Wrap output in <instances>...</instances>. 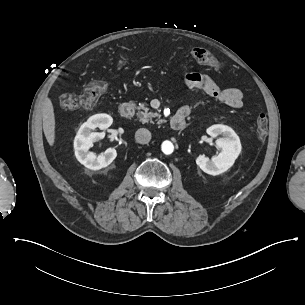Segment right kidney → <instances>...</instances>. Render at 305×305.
<instances>
[{
	"mask_svg": "<svg viewBox=\"0 0 305 305\" xmlns=\"http://www.w3.org/2000/svg\"><path fill=\"white\" fill-rule=\"evenodd\" d=\"M113 122L111 116L107 114H98L89 118V120L84 123L75 139H74V150L77 160L83 164L85 167L91 170H99L101 168L107 167L113 162L117 156V152L114 148H108L104 153L96 156L95 153L89 152L94 141L100 139L98 133H91V129L99 127L101 130L108 128ZM94 134V137H92Z\"/></svg>",
	"mask_w": 305,
	"mask_h": 305,
	"instance_id": "ca27d5eb",
	"label": "right kidney"
}]
</instances>
